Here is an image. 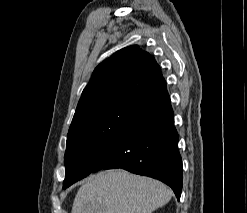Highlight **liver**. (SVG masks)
Instances as JSON below:
<instances>
[{
    "label": "liver",
    "mask_w": 247,
    "mask_h": 213,
    "mask_svg": "<svg viewBox=\"0 0 247 213\" xmlns=\"http://www.w3.org/2000/svg\"><path fill=\"white\" fill-rule=\"evenodd\" d=\"M171 197V190L158 180L122 169L108 170L86 179L71 213H152Z\"/></svg>",
    "instance_id": "6515ba94"
}]
</instances>
